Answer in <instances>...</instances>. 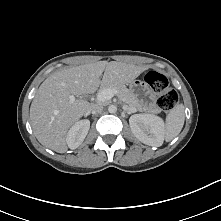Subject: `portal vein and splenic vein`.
<instances>
[{"label": "portal vein and splenic vein", "instance_id": "1", "mask_svg": "<svg viewBox=\"0 0 221 221\" xmlns=\"http://www.w3.org/2000/svg\"><path fill=\"white\" fill-rule=\"evenodd\" d=\"M115 94H116L115 90L105 89L98 93L97 100L100 102H104V101L110 100ZM70 101H74V98L72 97Z\"/></svg>", "mask_w": 221, "mask_h": 221}]
</instances>
